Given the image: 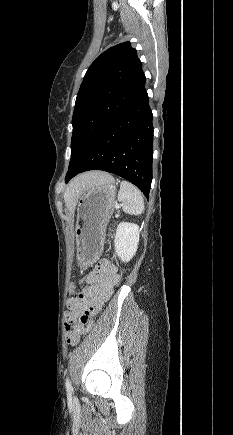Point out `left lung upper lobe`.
Wrapping results in <instances>:
<instances>
[{"mask_svg":"<svg viewBox=\"0 0 233 435\" xmlns=\"http://www.w3.org/2000/svg\"><path fill=\"white\" fill-rule=\"evenodd\" d=\"M145 81L142 63L130 42L109 48L91 64L76 98L69 168L142 95Z\"/></svg>","mask_w":233,"mask_h":435,"instance_id":"5c2ea615","label":"left lung upper lobe"}]
</instances>
